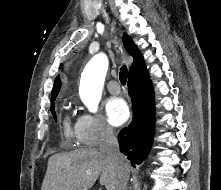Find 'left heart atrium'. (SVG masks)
<instances>
[{"instance_id":"obj_1","label":"left heart atrium","mask_w":221,"mask_h":190,"mask_svg":"<svg viewBox=\"0 0 221 190\" xmlns=\"http://www.w3.org/2000/svg\"><path fill=\"white\" fill-rule=\"evenodd\" d=\"M130 115L129 107L122 98H111L106 104V116L108 122L113 126L125 123Z\"/></svg>"}]
</instances>
